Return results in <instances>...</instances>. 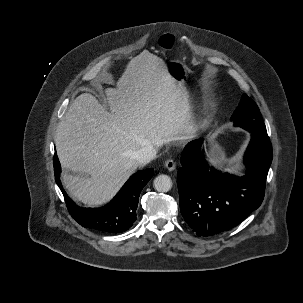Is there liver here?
Returning a JSON list of instances; mask_svg holds the SVG:
<instances>
[{"label": "liver", "instance_id": "obj_1", "mask_svg": "<svg viewBox=\"0 0 303 303\" xmlns=\"http://www.w3.org/2000/svg\"><path fill=\"white\" fill-rule=\"evenodd\" d=\"M111 112L79 95L58 124L55 144L69 194L88 206L109 201L138 167L134 153L195 134L188 95L166 64L147 50L132 58L117 88L105 89Z\"/></svg>", "mask_w": 303, "mask_h": 303}]
</instances>
